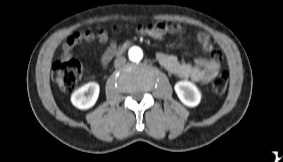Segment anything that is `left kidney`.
<instances>
[{
  "instance_id": "obj_1",
  "label": "left kidney",
  "mask_w": 283,
  "mask_h": 162,
  "mask_svg": "<svg viewBox=\"0 0 283 162\" xmlns=\"http://www.w3.org/2000/svg\"><path fill=\"white\" fill-rule=\"evenodd\" d=\"M180 101L188 107H196L201 101V93L190 81H179L174 86Z\"/></svg>"
}]
</instances>
